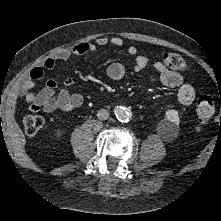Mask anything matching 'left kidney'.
Segmentation results:
<instances>
[{
	"label": "left kidney",
	"instance_id": "5707ae66",
	"mask_svg": "<svg viewBox=\"0 0 221 221\" xmlns=\"http://www.w3.org/2000/svg\"><path fill=\"white\" fill-rule=\"evenodd\" d=\"M165 121L166 123L164 124V126H167L172 130L175 129L180 122L178 111L173 109H168L165 113Z\"/></svg>",
	"mask_w": 221,
	"mask_h": 221
}]
</instances>
